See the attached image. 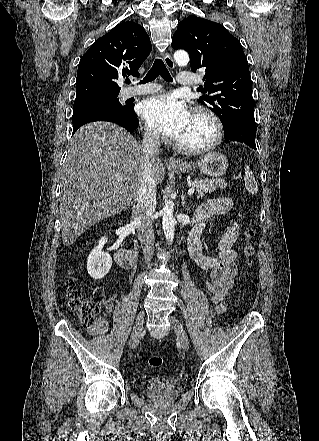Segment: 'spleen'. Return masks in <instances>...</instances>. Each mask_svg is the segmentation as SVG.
<instances>
[{"mask_svg":"<svg viewBox=\"0 0 319 441\" xmlns=\"http://www.w3.org/2000/svg\"><path fill=\"white\" fill-rule=\"evenodd\" d=\"M245 187L247 191L251 194H257L258 192V186L257 182L255 180V177L250 170V167L248 165L245 166Z\"/></svg>","mask_w":319,"mask_h":441,"instance_id":"obj_1","label":"spleen"}]
</instances>
